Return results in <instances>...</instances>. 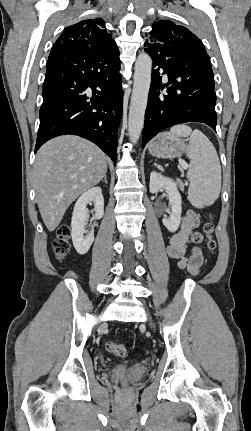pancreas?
Returning <instances> with one entry per match:
<instances>
[{"instance_id": "obj_1", "label": "pancreas", "mask_w": 251, "mask_h": 431, "mask_svg": "<svg viewBox=\"0 0 251 431\" xmlns=\"http://www.w3.org/2000/svg\"><path fill=\"white\" fill-rule=\"evenodd\" d=\"M178 184H179L181 191H184V184L180 180H178Z\"/></svg>"}]
</instances>
